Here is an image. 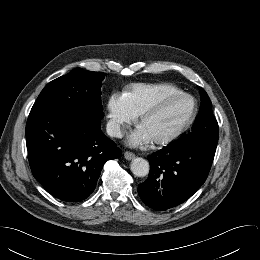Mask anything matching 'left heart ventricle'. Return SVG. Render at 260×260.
<instances>
[{
  "label": "left heart ventricle",
  "instance_id": "left-heart-ventricle-1",
  "mask_svg": "<svg viewBox=\"0 0 260 260\" xmlns=\"http://www.w3.org/2000/svg\"><path fill=\"white\" fill-rule=\"evenodd\" d=\"M191 105V101L187 98H174L162 106L156 114L148 117L141 126L151 138L163 136L175 130L184 121Z\"/></svg>",
  "mask_w": 260,
  "mask_h": 260
}]
</instances>
